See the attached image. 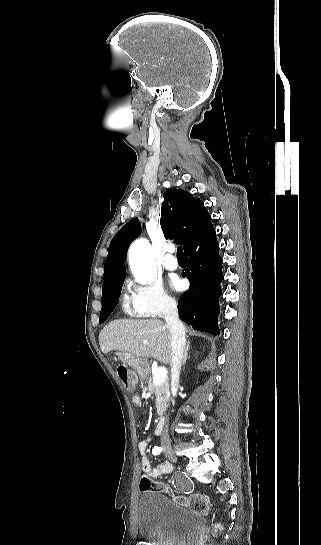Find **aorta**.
<instances>
[{
    "instance_id": "obj_1",
    "label": "aorta",
    "mask_w": 321,
    "mask_h": 545,
    "mask_svg": "<svg viewBox=\"0 0 321 545\" xmlns=\"http://www.w3.org/2000/svg\"><path fill=\"white\" fill-rule=\"evenodd\" d=\"M129 264L135 279L141 284L151 283L156 276V262L151 245L138 239L129 249Z\"/></svg>"
}]
</instances>
